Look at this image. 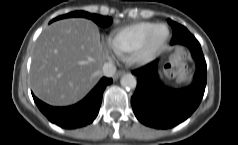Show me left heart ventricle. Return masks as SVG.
Instances as JSON below:
<instances>
[{
  "mask_svg": "<svg viewBox=\"0 0 238 145\" xmlns=\"http://www.w3.org/2000/svg\"><path fill=\"white\" fill-rule=\"evenodd\" d=\"M164 35H165V29L159 28L155 34V42L160 41L164 37Z\"/></svg>",
  "mask_w": 238,
  "mask_h": 145,
  "instance_id": "left-heart-ventricle-1",
  "label": "left heart ventricle"
}]
</instances>
